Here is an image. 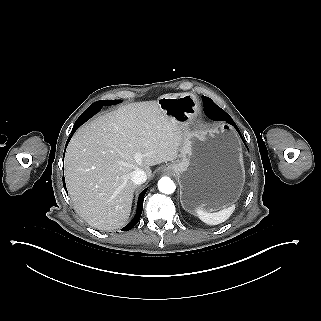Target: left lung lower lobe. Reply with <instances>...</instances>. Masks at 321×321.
Here are the masks:
<instances>
[{
  "instance_id": "obj_1",
  "label": "left lung lower lobe",
  "mask_w": 321,
  "mask_h": 321,
  "mask_svg": "<svg viewBox=\"0 0 321 321\" xmlns=\"http://www.w3.org/2000/svg\"><path fill=\"white\" fill-rule=\"evenodd\" d=\"M205 107V113L206 115L213 120H225L228 123L232 124L233 126H235L236 130L238 131V133L241 135L238 127L235 125V123L232 121V119L230 118V116L224 112L222 109H220L217 105L211 106V105H206L204 104ZM242 137V136H241Z\"/></svg>"
}]
</instances>
